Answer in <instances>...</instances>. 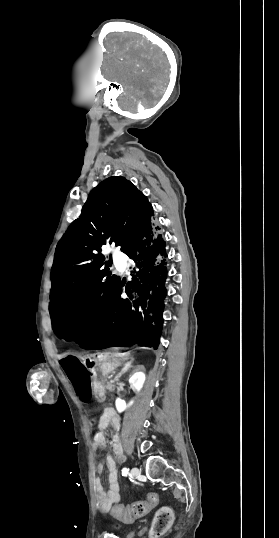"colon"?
Listing matches in <instances>:
<instances>
[{
	"instance_id": "1",
	"label": "colon",
	"mask_w": 279,
	"mask_h": 538,
	"mask_svg": "<svg viewBox=\"0 0 279 538\" xmlns=\"http://www.w3.org/2000/svg\"><path fill=\"white\" fill-rule=\"evenodd\" d=\"M159 497L155 492L146 495L143 500L135 501L129 505H117L112 508L111 513L116 518L123 521H132L146 515L156 504ZM103 511H108L109 508H102ZM172 521V512L169 509L160 511L155 519L154 528L156 532L164 531Z\"/></svg>"
}]
</instances>
